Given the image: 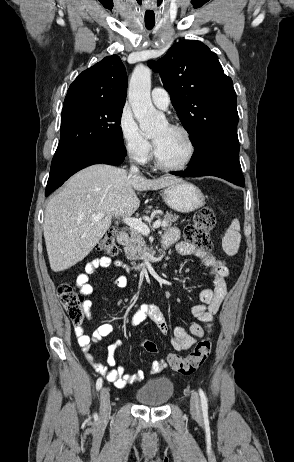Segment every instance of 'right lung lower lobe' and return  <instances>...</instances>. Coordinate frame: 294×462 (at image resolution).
<instances>
[{"instance_id":"1","label":"right lung lower lobe","mask_w":294,"mask_h":462,"mask_svg":"<svg viewBox=\"0 0 294 462\" xmlns=\"http://www.w3.org/2000/svg\"><path fill=\"white\" fill-rule=\"evenodd\" d=\"M125 156V146L119 143L72 145L58 150L51 163L45 196L82 168L99 163L118 165L124 161Z\"/></svg>"}]
</instances>
